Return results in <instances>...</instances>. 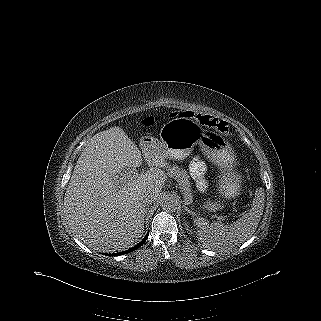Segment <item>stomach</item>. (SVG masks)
Returning a JSON list of instances; mask_svg holds the SVG:
<instances>
[{
    "label": "stomach",
    "instance_id": "0dacf381",
    "mask_svg": "<svg viewBox=\"0 0 321 321\" xmlns=\"http://www.w3.org/2000/svg\"><path fill=\"white\" fill-rule=\"evenodd\" d=\"M140 143L155 148L164 157L173 160L185 159L199 145L210 159L222 167L230 168L234 161L232 149L224 138L204 130L190 118L172 119L161 128L160 140L146 136L141 138ZM237 190V184L229 176L221 181V191L226 197H232ZM210 207L215 208L216 205Z\"/></svg>",
    "mask_w": 321,
    "mask_h": 321
}]
</instances>
